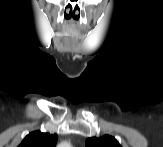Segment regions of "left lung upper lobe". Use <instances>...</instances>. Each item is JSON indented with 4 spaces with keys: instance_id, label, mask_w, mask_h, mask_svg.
I'll return each mask as SVG.
<instances>
[{
    "instance_id": "left-lung-upper-lobe-1",
    "label": "left lung upper lobe",
    "mask_w": 163,
    "mask_h": 147,
    "mask_svg": "<svg viewBox=\"0 0 163 147\" xmlns=\"http://www.w3.org/2000/svg\"><path fill=\"white\" fill-rule=\"evenodd\" d=\"M87 147H121L118 141L109 135L100 138L92 137L86 140Z\"/></svg>"
}]
</instances>
